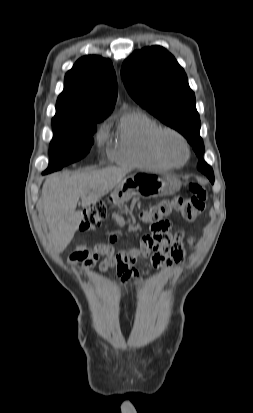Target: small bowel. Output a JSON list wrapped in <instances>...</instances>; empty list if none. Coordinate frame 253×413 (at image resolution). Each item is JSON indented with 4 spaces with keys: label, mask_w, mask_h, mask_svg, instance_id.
<instances>
[{
    "label": "small bowel",
    "mask_w": 253,
    "mask_h": 413,
    "mask_svg": "<svg viewBox=\"0 0 253 413\" xmlns=\"http://www.w3.org/2000/svg\"><path fill=\"white\" fill-rule=\"evenodd\" d=\"M113 219L120 222L121 217L115 214ZM170 228L169 221H164L159 227H152V234L142 238L140 247L128 252L114 254L113 247L105 244H96L92 248L79 245L69 255L68 263H81L85 270L98 265L102 272L116 267L121 282L125 286H132L140 281L138 273L132 269L137 257H148L153 251L152 265L167 271L183 259L185 234L183 231L172 234ZM101 256L105 258L99 261Z\"/></svg>",
    "instance_id": "c3829d8e"
}]
</instances>
